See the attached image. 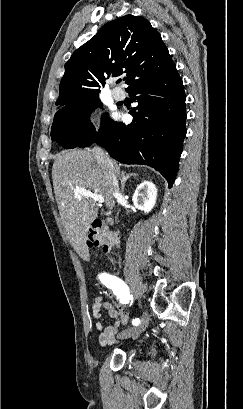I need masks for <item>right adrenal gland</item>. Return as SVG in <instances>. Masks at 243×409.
Instances as JSON below:
<instances>
[{
    "label": "right adrenal gland",
    "mask_w": 243,
    "mask_h": 409,
    "mask_svg": "<svg viewBox=\"0 0 243 409\" xmlns=\"http://www.w3.org/2000/svg\"><path fill=\"white\" fill-rule=\"evenodd\" d=\"M137 176H138V174H136V173H130V174H127V175H125L124 173H122L121 191L124 192V190H125V184H126L127 180H128L130 177H135V178H137Z\"/></svg>",
    "instance_id": "1"
}]
</instances>
